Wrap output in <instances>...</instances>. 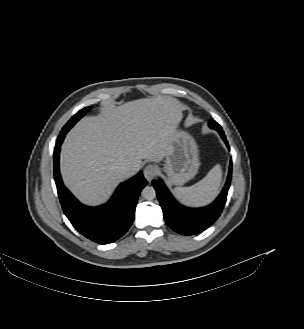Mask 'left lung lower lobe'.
I'll return each mask as SVG.
<instances>
[{
    "mask_svg": "<svg viewBox=\"0 0 304 329\" xmlns=\"http://www.w3.org/2000/svg\"><path fill=\"white\" fill-rule=\"evenodd\" d=\"M209 126L219 132L228 146L221 126L215 121L210 123ZM231 174L232 160H230L228 178L222 192L212 204L203 208H187L182 206L174 199L161 179L153 180L152 183L156 189L157 197L168 226L182 235H194L207 229L218 219L224 208L230 187Z\"/></svg>",
    "mask_w": 304,
    "mask_h": 329,
    "instance_id": "1",
    "label": "left lung lower lobe"
}]
</instances>
